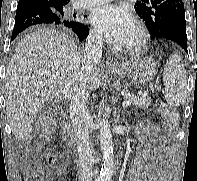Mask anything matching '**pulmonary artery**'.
Instances as JSON below:
<instances>
[{
  "instance_id": "e3ab8cb5",
  "label": "pulmonary artery",
  "mask_w": 197,
  "mask_h": 181,
  "mask_svg": "<svg viewBox=\"0 0 197 181\" xmlns=\"http://www.w3.org/2000/svg\"><path fill=\"white\" fill-rule=\"evenodd\" d=\"M109 1H111V0H78L75 3L74 8H76V9L86 8V7H89V6H94V5L107 3Z\"/></svg>"
}]
</instances>
